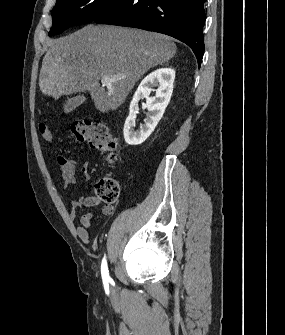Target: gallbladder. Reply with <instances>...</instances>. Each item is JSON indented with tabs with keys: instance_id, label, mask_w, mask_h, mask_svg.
<instances>
[{
	"instance_id": "bac80fb5",
	"label": "gallbladder",
	"mask_w": 285,
	"mask_h": 335,
	"mask_svg": "<svg viewBox=\"0 0 285 335\" xmlns=\"http://www.w3.org/2000/svg\"><path fill=\"white\" fill-rule=\"evenodd\" d=\"M81 104H83L81 96H76V98H69L64 106L65 114H68V112H73V110L78 108V106H81Z\"/></svg>"
}]
</instances>
